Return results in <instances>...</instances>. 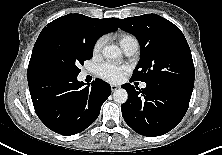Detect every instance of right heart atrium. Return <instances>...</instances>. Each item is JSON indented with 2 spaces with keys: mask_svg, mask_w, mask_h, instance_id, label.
Instances as JSON below:
<instances>
[{
  "mask_svg": "<svg viewBox=\"0 0 222 155\" xmlns=\"http://www.w3.org/2000/svg\"><path fill=\"white\" fill-rule=\"evenodd\" d=\"M105 43V39L103 37L99 38L93 45V55L98 56L102 50V47Z\"/></svg>",
  "mask_w": 222,
  "mask_h": 155,
  "instance_id": "obj_1",
  "label": "right heart atrium"
}]
</instances>
